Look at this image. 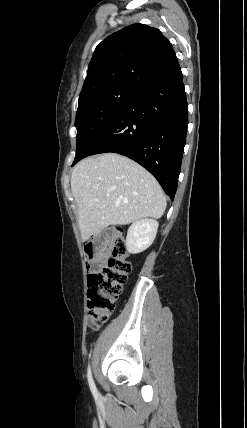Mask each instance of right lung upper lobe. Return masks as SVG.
Here are the masks:
<instances>
[{
	"label": "right lung upper lobe",
	"instance_id": "1",
	"mask_svg": "<svg viewBox=\"0 0 247 428\" xmlns=\"http://www.w3.org/2000/svg\"><path fill=\"white\" fill-rule=\"evenodd\" d=\"M177 62L160 30L133 24L96 47L80 95L113 86L141 90Z\"/></svg>",
	"mask_w": 247,
	"mask_h": 428
}]
</instances>
